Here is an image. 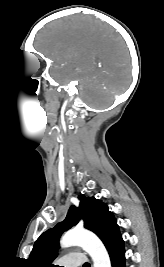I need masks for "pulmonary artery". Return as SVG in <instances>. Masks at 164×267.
Returning a JSON list of instances; mask_svg holds the SVG:
<instances>
[{
	"instance_id": "e3ab8cb5",
	"label": "pulmonary artery",
	"mask_w": 164,
	"mask_h": 267,
	"mask_svg": "<svg viewBox=\"0 0 164 267\" xmlns=\"http://www.w3.org/2000/svg\"><path fill=\"white\" fill-rule=\"evenodd\" d=\"M85 263V257L82 254L72 252L63 259V267H79Z\"/></svg>"
}]
</instances>
